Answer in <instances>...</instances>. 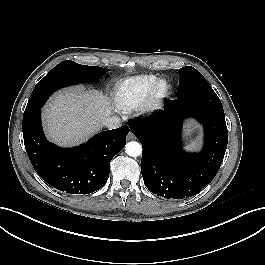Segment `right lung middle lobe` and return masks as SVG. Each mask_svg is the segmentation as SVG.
<instances>
[{
  "mask_svg": "<svg viewBox=\"0 0 265 265\" xmlns=\"http://www.w3.org/2000/svg\"><path fill=\"white\" fill-rule=\"evenodd\" d=\"M106 71L109 69L81 65L70 60L60 62L36 84L23 117H27L41 108L56 90L83 81L97 80Z\"/></svg>",
  "mask_w": 265,
  "mask_h": 265,
  "instance_id": "dd1d6c3e",
  "label": "right lung middle lobe"
}]
</instances>
